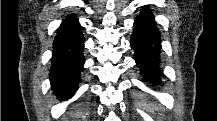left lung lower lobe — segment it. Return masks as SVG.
<instances>
[{
	"label": "left lung lower lobe",
	"mask_w": 217,
	"mask_h": 121,
	"mask_svg": "<svg viewBox=\"0 0 217 121\" xmlns=\"http://www.w3.org/2000/svg\"><path fill=\"white\" fill-rule=\"evenodd\" d=\"M154 16L150 10L143 7L134 23L131 35V47L135 51L134 59L145 80L160 84L159 55L161 49V34L155 25Z\"/></svg>",
	"instance_id": "obj_1"
}]
</instances>
